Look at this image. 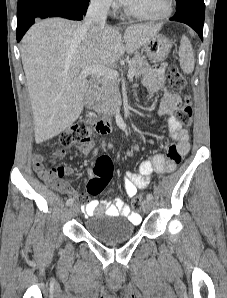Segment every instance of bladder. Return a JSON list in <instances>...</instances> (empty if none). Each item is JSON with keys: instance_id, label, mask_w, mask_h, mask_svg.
I'll use <instances>...</instances> for the list:
<instances>
[{"instance_id": "1", "label": "bladder", "mask_w": 227, "mask_h": 298, "mask_svg": "<svg viewBox=\"0 0 227 298\" xmlns=\"http://www.w3.org/2000/svg\"><path fill=\"white\" fill-rule=\"evenodd\" d=\"M85 228L94 239L104 244L124 242L135 234V224L127 219L92 218L86 221Z\"/></svg>"}]
</instances>
